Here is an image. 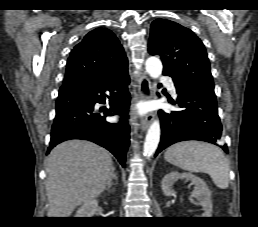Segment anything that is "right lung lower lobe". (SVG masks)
<instances>
[{"instance_id":"1","label":"right lung lower lobe","mask_w":258,"mask_h":227,"mask_svg":"<svg viewBox=\"0 0 258 227\" xmlns=\"http://www.w3.org/2000/svg\"><path fill=\"white\" fill-rule=\"evenodd\" d=\"M128 70L105 78H87L61 86L56 101V116L51 129L48 152L57 144L70 139H86L109 150L125 166V156L129 146L130 127L127 113L130 104ZM111 94L110 108L95 111V103L105 104ZM121 116L117 124L109 123L105 116Z\"/></svg>"}]
</instances>
